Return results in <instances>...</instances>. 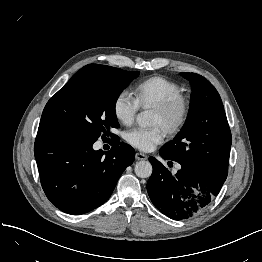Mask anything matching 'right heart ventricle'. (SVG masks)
<instances>
[{
    "label": "right heart ventricle",
    "mask_w": 262,
    "mask_h": 262,
    "mask_svg": "<svg viewBox=\"0 0 262 262\" xmlns=\"http://www.w3.org/2000/svg\"><path fill=\"white\" fill-rule=\"evenodd\" d=\"M181 95V87L174 81L154 76L140 82L134 90V98L141 107H155L159 103Z\"/></svg>",
    "instance_id": "right-heart-ventricle-1"
}]
</instances>
